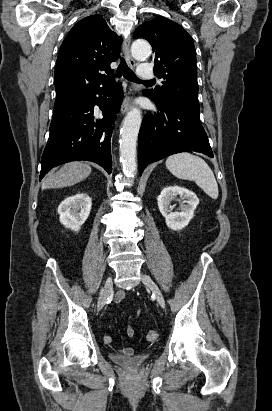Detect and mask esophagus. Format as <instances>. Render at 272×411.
<instances>
[{
    "instance_id": "obj_1",
    "label": "esophagus",
    "mask_w": 272,
    "mask_h": 411,
    "mask_svg": "<svg viewBox=\"0 0 272 411\" xmlns=\"http://www.w3.org/2000/svg\"><path fill=\"white\" fill-rule=\"evenodd\" d=\"M130 44H131V38L130 36H127L123 40V53L126 57V60L129 64L130 67L135 68L136 62L132 58L131 53H130ZM131 108V97L126 95V97L123 100V103L121 105V113L124 114L126 113L129 109Z\"/></svg>"
}]
</instances>
